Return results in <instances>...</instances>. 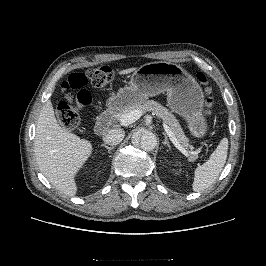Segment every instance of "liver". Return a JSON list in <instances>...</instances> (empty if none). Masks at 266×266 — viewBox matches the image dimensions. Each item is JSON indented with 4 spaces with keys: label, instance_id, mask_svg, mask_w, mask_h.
I'll use <instances>...</instances> for the list:
<instances>
[{
    "label": "liver",
    "instance_id": "obj_1",
    "mask_svg": "<svg viewBox=\"0 0 266 266\" xmlns=\"http://www.w3.org/2000/svg\"><path fill=\"white\" fill-rule=\"evenodd\" d=\"M136 68L119 72L124 75ZM93 151L92 144L60 126L50 100L39 114L34 140V152L42 174L61 194L73 197L77 193L75 177Z\"/></svg>",
    "mask_w": 266,
    "mask_h": 266
}]
</instances>
